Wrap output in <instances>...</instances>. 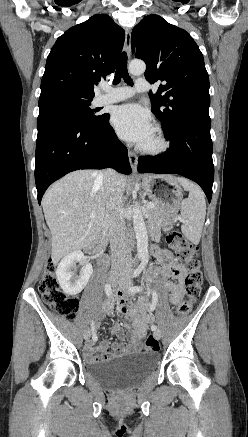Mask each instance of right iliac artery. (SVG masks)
<instances>
[{"mask_svg":"<svg viewBox=\"0 0 248 437\" xmlns=\"http://www.w3.org/2000/svg\"><path fill=\"white\" fill-rule=\"evenodd\" d=\"M104 290H105V293H106L107 296H110L112 294V288H111L110 284L107 283L105 285V287H104ZM91 328H92V331H93L94 330V322L93 321H92V324H91ZM92 340L93 341L97 340V336L95 334H93Z\"/></svg>","mask_w":248,"mask_h":437,"instance_id":"obj_1","label":"right iliac artery"}]
</instances>
